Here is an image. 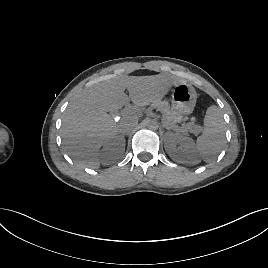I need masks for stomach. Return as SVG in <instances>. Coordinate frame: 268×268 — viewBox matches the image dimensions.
Here are the masks:
<instances>
[{
    "mask_svg": "<svg viewBox=\"0 0 268 268\" xmlns=\"http://www.w3.org/2000/svg\"><path fill=\"white\" fill-rule=\"evenodd\" d=\"M197 93L193 86L185 82L178 83L172 90V110L181 116L193 113L196 105Z\"/></svg>",
    "mask_w": 268,
    "mask_h": 268,
    "instance_id": "0dacf381",
    "label": "stomach"
}]
</instances>
